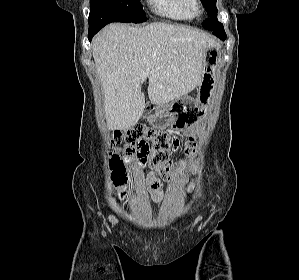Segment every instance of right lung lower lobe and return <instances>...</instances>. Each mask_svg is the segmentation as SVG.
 <instances>
[{"label":"right lung lower lobe","mask_w":299,"mask_h":280,"mask_svg":"<svg viewBox=\"0 0 299 280\" xmlns=\"http://www.w3.org/2000/svg\"><path fill=\"white\" fill-rule=\"evenodd\" d=\"M112 22H127V20L115 10L104 5H90L88 39L91 42L93 36L105 25Z\"/></svg>","instance_id":"1"}]
</instances>
